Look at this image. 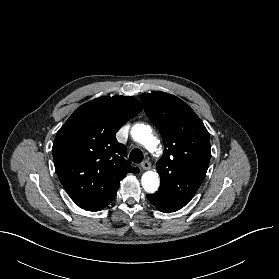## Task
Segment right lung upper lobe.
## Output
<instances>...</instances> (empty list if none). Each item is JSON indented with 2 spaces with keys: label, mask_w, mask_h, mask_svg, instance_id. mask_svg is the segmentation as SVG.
Returning <instances> with one entry per match:
<instances>
[{
  "label": "right lung upper lobe",
  "mask_w": 279,
  "mask_h": 279,
  "mask_svg": "<svg viewBox=\"0 0 279 279\" xmlns=\"http://www.w3.org/2000/svg\"><path fill=\"white\" fill-rule=\"evenodd\" d=\"M142 109L134 97L102 96L77 108L58 131L52 148L58 178L82 209L102 210L126 174L138 172L115 134Z\"/></svg>",
  "instance_id": "obj_1"
}]
</instances>
